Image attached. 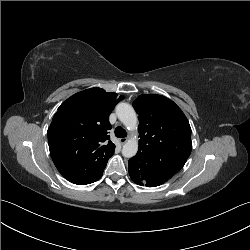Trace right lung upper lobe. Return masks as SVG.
Segmentation results:
<instances>
[{
    "instance_id": "right-lung-upper-lobe-1",
    "label": "right lung upper lobe",
    "mask_w": 250,
    "mask_h": 250,
    "mask_svg": "<svg viewBox=\"0 0 250 250\" xmlns=\"http://www.w3.org/2000/svg\"><path fill=\"white\" fill-rule=\"evenodd\" d=\"M124 99L101 88L78 92L64 101L48 128L51 157L71 183L86 185L103 174L115 145L110 141L109 114Z\"/></svg>"
}]
</instances>
